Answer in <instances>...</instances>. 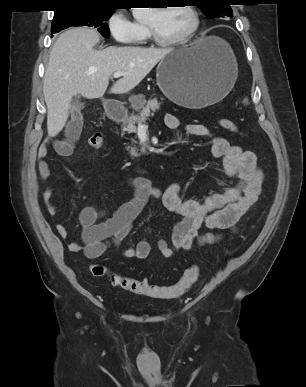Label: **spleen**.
I'll use <instances>...</instances> for the list:
<instances>
[{
    "mask_svg": "<svg viewBox=\"0 0 306 387\" xmlns=\"http://www.w3.org/2000/svg\"><path fill=\"white\" fill-rule=\"evenodd\" d=\"M244 103H248V99H244Z\"/></svg>",
    "mask_w": 306,
    "mask_h": 387,
    "instance_id": "1",
    "label": "spleen"
}]
</instances>
